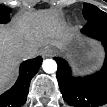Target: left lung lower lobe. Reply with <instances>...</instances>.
Here are the masks:
<instances>
[{"label": "left lung lower lobe", "instance_id": "1", "mask_svg": "<svg viewBox=\"0 0 107 107\" xmlns=\"http://www.w3.org/2000/svg\"><path fill=\"white\" fill-rule=\"evenodd\" d=\"M85 35L102 42L106 57L102 69L93 75L71 76L68 63L58 57L57 80L63 99L71 106L98 107L107 103V16L88 21L81 30Z\"/></svg>", "mask_w": 107, "mask_h": 107}]
</instances>
